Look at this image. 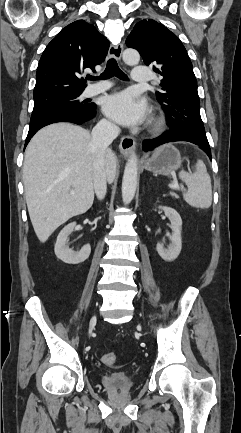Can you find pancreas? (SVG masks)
Returning a JSON list of instances; mask_svg holds the SVG:
<instances>
[{
	"mask_svg": "<svg viewBox=\"0 0 241 433\" xmlns=\"http://www.w3.org/2000/svg\"><path fill=\"white\" fill-rule=\"evenodd\" d=\"M172 196H174L175 198H178V195L175 193H171Z\"/></svg>",
	"mask_w": 241,
	"mask_h": 433,
	"instance_id": "obj_1",
	"label": "pancreas"
}]
</instances>
